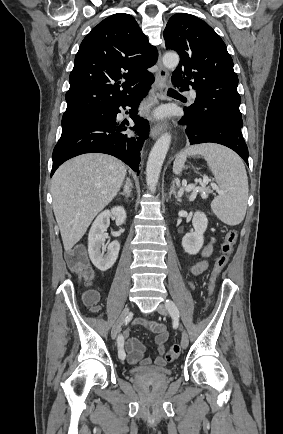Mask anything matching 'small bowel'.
<instances>
[{"label":"small bowel","mask_w":283,"mask_h":434,"mask_svg":"<svg viewBox=\"0 0 283 434\" xmlns=\"http://www.w3.org/2000/svg\"><path fill=\"white\" fill-rule=\"evenodd\" d=\"M213 244H214V238H212L208 244L204 246V248L201 251V256L206 259L210 257V255L213 252ZM208 268V262L206 260L199 261L193 265L190 266V271L194 275H199L202 272H204ZM97 295V293L95 292ZM134 325H141L145 327L150 333L155 335V344L158 349V355L155 357V359H151L150 357L143 358L144 354V345L143 343L137 339L132 338L129 336L130 332L129 330H126L124 332V344L123 349L127 354V359L130 364H137L139 361H141L142 365L144 366H150L155 365L157 367H164L166 365V361L164 358V352H165V343L168 339V332L165 329V327L157 322L150 321V320H137L134 322Z\"/></svg>","instance_id":"1"}]
</instances>
